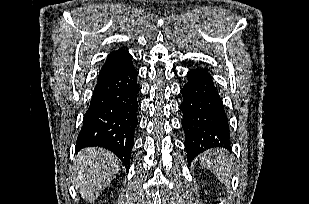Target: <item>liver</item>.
Segmentation results:
<instances>
[{
    "instance_id": "obj_1",
    "label": "liver",
    "mask_w": 309,
    "mask_h": 204,
    "mask_svg": "<svg viewBox=\"0 0 309 204\" xmlns=\"http://www.w3.org/2000/svg\"><path fill=\"white\" fill-rule=\"evenodd\" d=\"M120 169L119 159L102 148L82 150L74 161L73 184L88 202L94 201Z\"/></svg>"
}]
</instances>
